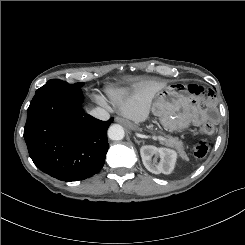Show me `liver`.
Instances as JSON below:
<instances>
[{
	"mask_svg": "<svg viewBox=\"0 0 245 245\" xmlns=\"http://www.w3.org/2000/svg\"><path fill=\"white\" fill-rule=\"evenodd\" d=\"M165 86V83L156 81L141 82L135 86L131 96L124 98L123 91L115 90V101L124 118L134 122H143L148 118L152 100Z\"/></svg>",
	"mask_w": 245,
	"mask_h": 245,
	"instance_id": "obj_1",
	"label": "liver"
}]
</instances>
